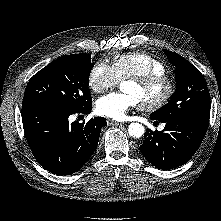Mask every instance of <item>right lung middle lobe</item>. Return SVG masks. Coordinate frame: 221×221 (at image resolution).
Listing matches in <instances>:
<instances>
[{
	"label": "right lung middle lobe",
	"mask_w": 221,
	"mask_h": 221,
	"mask_svg": "<svg viewBox=\"0 0 221 221\" xmlns=\"http://www.w3.org/2000/svg\"><path fill=\"white\" fill-rule=\"evenodd\" d=\"M93 66L87 53L54 60L29 80L22 106L42 104L76 112L88 109L92 106L88 86Z\"/></svg>",
	"instance_id": "right-lung-middle-lobe-1"
}]
</instances>
